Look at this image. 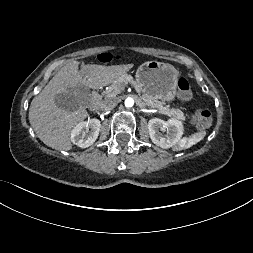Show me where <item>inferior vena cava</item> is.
I'll use <instances>...</instances> for the list:
<instances>
[{"label":"inferior vena cava","mask_w":253,"mask_h":253,"mask_svg":"<svg viewBox=\"0 0 253 253\" xmlns=\"http://www.w3.org/2000/svg\"><path fill=\"white\" fill-rule=\"evenodd\" d=\"M118 102L119 100L116 98L105 99L100 105V110L103 112L109 111L110 109L115 107Z\"/></svg>","instance_id":"obj_1"}]
</instances>
